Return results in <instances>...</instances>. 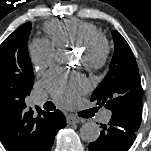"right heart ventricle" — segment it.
Masks as SVG:
<instances>
[{
    "label": "right heart ventricle",
    "instance_id": "e07e8e85",
    "mask_svg": "<svg viewBox=\"0 0 151 151\" xmlns=\"http://www.w3.org/2000/svg\"><path fill=\"white\" fill-rule=\"evenodd\" d=\"M45 31L56 46H81L99 34L98 28L79 19L55 20L45 25Z\"/></svg>",
    "mask_w": 151,
    "mask_h": 151
}]
</instances>
